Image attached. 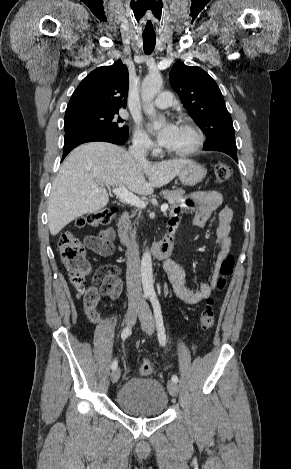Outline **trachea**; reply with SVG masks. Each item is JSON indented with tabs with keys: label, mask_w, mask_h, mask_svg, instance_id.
Wrapping results in <instances>:
<instances>
[{
	"label": "trachea",
	"mask_w": 291,
	"mask_h": 469,
	"mask_svg": "<svg viewBox=\"0 0 291 469\" xmlns=\"http://www.w3.org/2000/svg\"><path fill=\"white\" fill-rule=\"evenodd\" d=\"M155 44L156 37H143V49L145 54H151L155 48Z\"/></svg>",
	"instance_id": "trachea-1"
}]
</instances>
